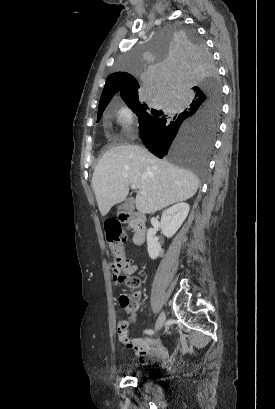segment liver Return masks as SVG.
<instances>
[{"label": "liver", "instance_id": "liver-1", "mask_svg": "<svg viewBox=\"0 0 275 409\" xmlns=\"http://www.w3.org/2000/svg\"><path fill=\"white\" fill-rule=\"evenodd\" d=\"M97 205L102 217L113 205L125 200L129 184H135L136 209L156 213L173 202L191 198L199 186L194 172L157 158L139 144H121L106 150L92 176ZM144 190L146 194H141Z\"/></svg>", "mask_w": 275, "mask_h": 409}]
</instances>
